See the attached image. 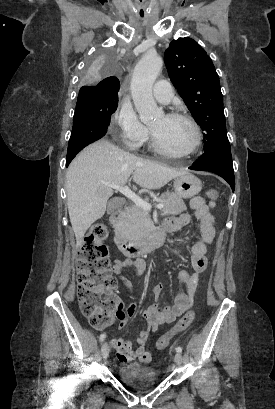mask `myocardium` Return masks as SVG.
<instances>
[{
  "mask_svg": "<svg viewBox=\"0 0 275 409\" xmlns=\"http://www.w3.org/2000/svg\"><path fill=\"white\" fill-rule=\"evenodd\" d=\"M164 116L168 120H183L187 122L193 130V134H194L193 142L191 143L189 148L186 149L185 151H173L167 148L165 145H163L161 141L159 140V138L156 136V134L153 132V130L149 128L151 145L153 149L162 155H166L170 157H187L193 154L201 143V131H200V127L197 124V122L191 116L180 113V112H169V113H165Z\"/></svg>",
  "mask_w": 275,
  "mask_h": 409,
  "instance_id": "myocardium-1",
  "label": "myocardium"
}]
</instances>
